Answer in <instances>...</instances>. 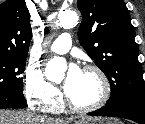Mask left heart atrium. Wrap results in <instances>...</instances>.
Listing matches in <instances>:
<instances>
[{
  "instance_id": "39dd6f15",
  "label": "left heart atrium",
  "mask_w": 145,
  "mask_h": 124,
  "mask_svg": "<svg viewBox=\"0 0 145 124\" xmlns=\"http://www.w3.org/2000/svg\"><path fill=\"white\" fill-rule=\"evenodd\" d=\"M79 74H80V70L75 65H71L63 85L66 93L70 91L72 84L78 78Z\"/></svg>"
}]
</instances>
